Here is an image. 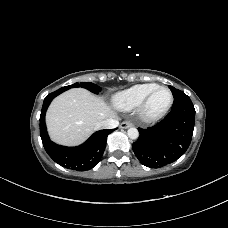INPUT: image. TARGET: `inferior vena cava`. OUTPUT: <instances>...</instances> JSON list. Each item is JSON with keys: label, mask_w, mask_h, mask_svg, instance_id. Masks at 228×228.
Segmentation results:
<instances>
[{"label": "inferior vena cava", "mask_w": 228, "mask_h": 228, "mask_svg": "<svg viewBox=\"0 0 228 228\" xmlns=\"http://www.w3.org/2000/svg\"><path fill=\"white\" fill-rule=\"evenodd\" d=\"M119 121L113 118L105 119L99 122L96 126L97 129H114L118 127Z\"/></svg>", "instance_id": "602c4592"}]
</instances>
